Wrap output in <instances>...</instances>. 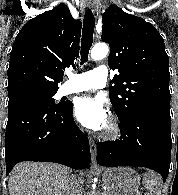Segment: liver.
I'll return each instance as SVG.
<instances>
[{
  "label": "liver",
  "mask_w": 178,
  "mask_h": 195,
  "mask_svg": "<svg viewBox=\"0 0 178 195\" xmlns=\"http://www.w3.org/2000/svg\"><path fill=\"white\" fill-rule=\"evenodd\" d=\"M71 170L59 164L22 162L10 173L9 195H70ZM80 186L84 178L78 177ZM82 188V186H81Z\"/></svg>",
  "instance_id": "6515ba94"
}]
</instances>
